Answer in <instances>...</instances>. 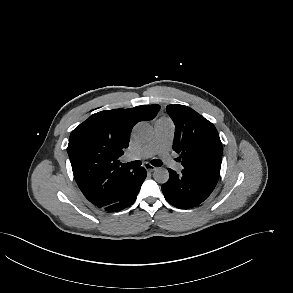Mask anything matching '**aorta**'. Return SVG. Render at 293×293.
I'll use <instances>...</instances> for the list:
<instances>
[{"label": "aorta", "mask_w": 293, "mask_h": 293, "mask_svg": "<svg viewBox=\"0 0 293 293\" xmlns=\"http://www.w3.org/2000/svg\"><path fill=\"white\" fill-rule=\"evenodd\" d=\"M132 136L137 142H146L152 138L153 129L149 123L139 122L133 128ZM153 178L156 182L164 184L169 179V172L163 167L157 168L153 173Z\"/></svg>", "instance_id": "1"}]
</instances>
